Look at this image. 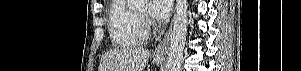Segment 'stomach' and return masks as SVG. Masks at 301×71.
<instances>
[{"instance_id":"stomach-1","label":"stomach","mask_w":301,"mask_h":71,"mask_svg":"<svg viewBox=\"0 0 301 71\" xmlns=\"http://www.w3.org/2000/svg\"><path fill=\"white\" fill-rule=\"evenodd\" d=\"M154 62L159 65L163 62V59H154Z\"/></svg>"}]
</instances>
